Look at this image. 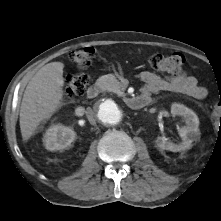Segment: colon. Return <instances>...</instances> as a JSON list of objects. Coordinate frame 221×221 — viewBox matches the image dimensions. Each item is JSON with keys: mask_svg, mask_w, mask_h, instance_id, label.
Returning a JSON list of instances; mask_svg holds the SVG:
<instances>
[{"mask_svg": "<svg viewBox=\"0 0 221 221\" xmlns=\"http://www.w3.org/2000/svg\"><path fill=\"white\" fill-rule=\"evenodd\" d=\"M95 55V50L91 47L74 51L71 55L73 62L81 69L90 66ZM185 63V58L181 53L153 54L149 58L150 67L160 74L179 73ZM89 84V77L86 74H73L66 78L65 92L68 96L81 95ZM213 115L221 122V94L213 105Z\"/></svg>", "mask_w": 221, "mask_h": 221, "instance_id": "colon-1", "label": "colon"}]
</instances>
